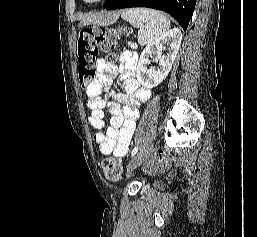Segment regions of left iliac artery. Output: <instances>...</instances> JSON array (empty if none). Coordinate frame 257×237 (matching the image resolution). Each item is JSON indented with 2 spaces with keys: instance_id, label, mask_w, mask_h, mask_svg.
Listing matches in <instances>:
<instances>
[{
  "instance_id": "44dca946",
  "label": "left iliac artery",
  "mask_w": 257,
  "mask_h": 237,
  "mask_svg": "<svg viewBox=\"0 0 257 237\" xmlns=\"http://www.w3.org/2000/svg\"><path fill=\"white\" fill-rule=\"evenodd\" d=\"M137 151H138V147L136 146V147L132 150V153H131L132 157L137 153Z\"/></svg>"
}]
</instances>
